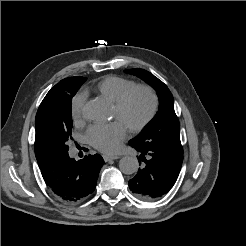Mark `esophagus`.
<instances>
[{"label":"esophagus","instance_id":"esophagus-1","mask_svg":"<svg viewBox=\"0 0 246 246\" xmlns=\"http://www.w3.org/2000/svg\"><path fill=\"white\" fill-rule=\"evenodd\" d=\"M119 158H120V156H118V155H103V159L105 162H108L110 160H116Z\"/></svg>","mask_w":246,"mask_h":246}]
</instances>
